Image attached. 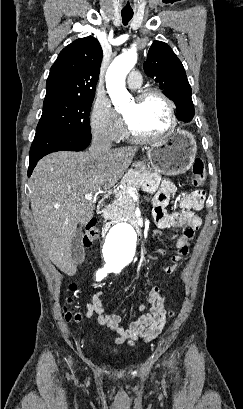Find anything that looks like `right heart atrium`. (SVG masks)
I'll return each mask as SVG.
<instances>
[{
	"instance_id": "right-heart-atrium-1",
	"label": "right heart atrium",
	"mask_w": 243,
	"mask_h": 409,
	"mask_svg": "<svg viewBox=\"0 0 243 409\" xmlns=\"http://www.w3.org/2000/svg\"><path fill=\"white\" fill-rule=\"evenodd\" d=\"M90 128L92 135L103 142L114 143L124 134L121 119L106 98H98L91 109Z\"/></svg>"
}]
</instances>
